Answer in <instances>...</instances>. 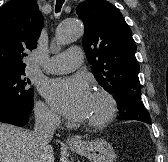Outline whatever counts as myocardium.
Masks as SVG:
<instances>
[{"mask_svg": "<svg viewBox=\"0 0 168 162\" xmlns=\"http://www.w3.org/2000/svg\"><path fill=\"white\" fill-rule=\"evenodd\" d=\"M93 95L104 101L105 110L101 116L86 121L84 125L90 129H100L109 124L114 118L117 110V103L114 97L104 89H97Z\"/></svg>", "mask_w": 168, "mask_h": 162, "instance_id": "f54148a6", "label": "myocardium"}]
</instances>
